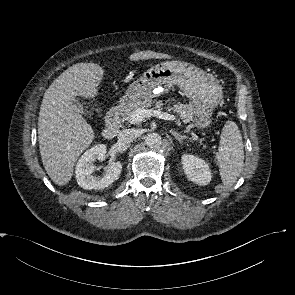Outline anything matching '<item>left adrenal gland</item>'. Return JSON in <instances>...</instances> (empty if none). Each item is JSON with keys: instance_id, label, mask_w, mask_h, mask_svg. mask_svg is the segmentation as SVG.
<instances>
[{"instance_id": "left-adrenal-gland-1", "label": "left adrenal gland", "mask_w": 295, "mask_h": 295, "mask_svg": "<svg viewBox=\"0 0 295 295\" xmlns=\"http://www.w3.org/2000/svg\"><path fill=\"white\" fill-rule=\"evenodd\" d=\"M170 133L180 142L182 143L184 139H191L189 137H187L186 135H181L180 133L174 131V130H170Z\"/></svg>"}]
</instances>
